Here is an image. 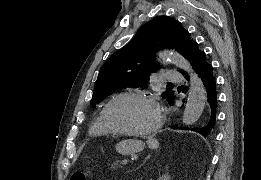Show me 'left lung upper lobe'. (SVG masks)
<instances>
[{
  "instance_id": "5c2ea615",
  "label": "left lung upper lobe",
  "mask_w": 261,
  "mask_h": 180,
  "mask_svg": "<svg viewBox=\"0 0 261 180\" xmlns=\"http://www.w3.org/2000/svg\"><path fill=\"white\" fill-rule=\"evenodd\" d=\"M196 44L180 22L168 16L156 17L142 26L129 44L113 53L105 62L90 104H98L121 88L147 87L150 73L159 69L154 55L158 50L172 48L188 59ZM164 94L168 102L174 98L173 91Z\"/></svg>"
}]
</instances>
